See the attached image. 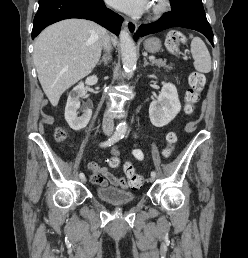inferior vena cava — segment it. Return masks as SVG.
I'll list each match as a JSON object with an SVG mask.
<instances>
[{"label":"inferior vena cava","mask_w":248,"mask_h":258,"mask_svg":"<svg viewBox=\"0 0 248 258\" xmlns=\"http://www.w3.org/2000/svg\"><path fill=\"white\" fill-rule=\"evenodd\" d=\"M103 47L108 53L111 51V41L108 35L104 41ZM102 128L104 133L112 134L113 128H114V120H113V115L111 113H106L104 115Z\"/></svg>","instance_id":"inferior-vena-cava-1"}]
</instances>
